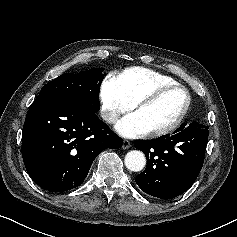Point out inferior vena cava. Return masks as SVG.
<instances>
[{"label":"inferior vena cava","instance_id":"1","mask_svg":"<svg viewBox=\"0 0 237 237\" xmlns=\"http://www.w3.org/2000/svg\"><path fill=\"white\" fill-rule=\"evenodd\" d=\"M101 117L110 123H114L117 120V115L107 110L101 112Z\"/></svg>","mask_w":237,"mask_h":237}]
</instances>
